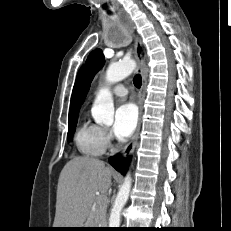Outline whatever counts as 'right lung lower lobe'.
Here are the masks:
<instances>
[{"label": "right lung lower lobe", "instance_id": "obj_1", "mask_svg": "<svg viewBox=\"0 0 231 231\" xmlns=\"http://www.w3.org/2000/svg\"><path fill=\"white\" fill-rule=\"evenodd\" d=\"M129 159L123 160L119 156H114L109 158V163L119 172L125 174L127 167H128Z\"/></svg>", "mask_w": 231, "mask_h": 231}]
</instances>
